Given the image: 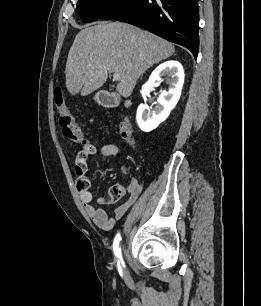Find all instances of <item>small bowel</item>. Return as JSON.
Instances as JSON below:
<instances>
[{"instance_id":"obj_1","label":"small bowel","mask_w":261,"mask_h":306,"mask_svg":"<svg viewBox=\"0 0 261 306\" xmlns=\"http://www.w3.org/2000/svg\"><path fill=\"white\" fill-rule=\"evenodd\" d=\"M94 153L95 148L93 146L92 155ZM100 153L103 156H118L120 154V148L115 144H106L101 148ZM87 159L76 160L75 170L77 175V183H88L87 188H79V198L94 224L103 230H111L115 223L121 219L126 211L136 202L142 190L141 185L136 179H131L126 187L115 185V187H119L122 190V195L127 192L128 198L123 204L114 210L112 215H108V213L103 208L92 204L93 196L90 191V179L87 176Z\"/></svg>"}]
</instances>
